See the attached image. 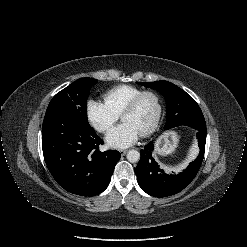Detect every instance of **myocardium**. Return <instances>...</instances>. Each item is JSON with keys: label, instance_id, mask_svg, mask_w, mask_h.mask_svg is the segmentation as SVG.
<instances>
[{"label": "myocardium", "instance_id": "1", "mask_svg": "<svg viewBox=\"0 0 247 247\" xmlns=\"http://www.w3.org/2000/svg\"><path fill=\"white\" fill-rule=\"evenodd\" d=\"M147 95H151L155 98L156 102H157V115H156V118L153 122V124L148 128L146 129L145 131H143L142 133H140V135L142 137H147L151 134H153L159 127L160 123H161V120H162V116H163V101H162V98L161 96L153 91V90H144L142 92H140L138 95H136L127 105L126 107L123 109L122 113H121V118H123V116L129 112H132L134 111L139 103L141 102V100L147 96Z\"/></svg>", "mask_w": 247, "mask_h": 247}]
</instances>
